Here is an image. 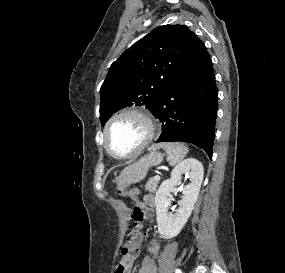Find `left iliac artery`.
<instances>
[{"label":"left iliac artery","instance_id":"44dca946","mask_svg":"<svg viewBox=\"0 0 285 273\" xmlns=\"http://www.w3.org/2000/svg\"><path fill=\"white\" fill-rule=\"evenodd\" d=\"M175 273H182L180 269H176Z\"/></svg>","mask_w":285,"mask_h":273}]
</instances>
